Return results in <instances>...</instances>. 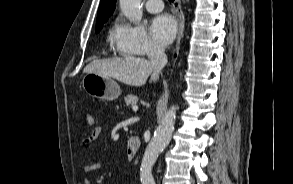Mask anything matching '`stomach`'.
Returning a JSON list of instances; mask_svg holds the SVG:
<instances>
[{
    "instance_id": "stomach-1",
    "label": "stomach",
    "mask_w": 293,
    "mask_h": 184,
    "mask_svg": "<svg viewBox=\"0 0 293 184\" xmlns=\"http://www.w3.org/2000/svg\"><path fill=\"white\" fill-rule=\"evenodd\" d=\"M82 85L86 93L94 98L112 101L120 95V86L112 77L86 73Z\"/></svg>"
}]
</instances>
